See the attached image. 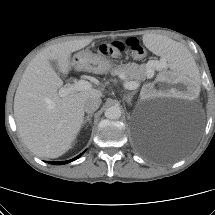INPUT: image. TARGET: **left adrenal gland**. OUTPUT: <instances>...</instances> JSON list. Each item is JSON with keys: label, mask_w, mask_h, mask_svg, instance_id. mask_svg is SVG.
<instances>
[{"label": "left adrenal gland", "mask_w": 215, "mask_h": 215, "mask_svg": "<svg viewBox=\"0 0 215 215\" xmlns=\"http://www.w3.org/2000/svg\"><path fill=\"white\" fill-rule=\"evenodd\" d=\"M136 92H132V93H129L127 96H124V100L130 105L131 104V101H132V98L133 96L135 95Z\"/></svg>", "instance_id": "a2214340"}]
</instances>
